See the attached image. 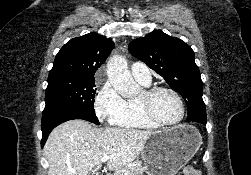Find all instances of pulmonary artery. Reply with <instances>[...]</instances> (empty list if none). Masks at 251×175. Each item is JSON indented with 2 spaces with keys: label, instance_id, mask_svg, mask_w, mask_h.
Here are the masks:
<instances>
[{
  "label": "pulmonary artery",
  "instance_id": "pulmonary-artery-1",
  "mask_svg": "<svg viewBox=\"0 0 251 175\" xmlns=\"http://www.w3.org/2000/svg\"><path fill=\"white\" fill-rule=\"evenodd\" d=\"M131 74L136 81L143 85H149L152 82V74L146 66V62H133Z\"/></svg>",
  "mask_w": 251,
  "mask_h": 175
}]
</instances>
